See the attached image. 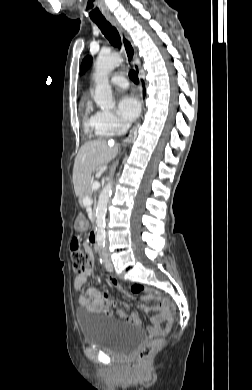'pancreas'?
<instances>
[{"label":"pancreas","mask_w":252,"mask_h":390,"mask_svg":"<svg viewBox=\"0 0 252 390\" xmlns=\"http://www.w3.org/2000/svg\"><path fill=\"white\" fill-rule=\"evenodd\" d=\"M80 205H81V206H84V205H85V202H84V201H81V202H80Z\"/></svg>","instance_id":"pancreas-1"}]
</instances>
